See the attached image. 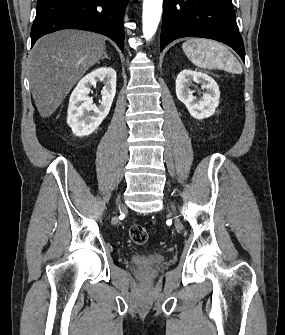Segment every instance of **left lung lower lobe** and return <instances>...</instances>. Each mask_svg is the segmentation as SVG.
Instances as JSON below:
<instances>
[{"mask_svg": "<svg viewBox=\"0 0 285 335\" xmlns=\"http://www.w3.org/2000/svg\"><path fill=\"white\" fill-rule=\"evenodd\" d=\"M161 51L175 39L202 37L232 47L245 62L232 0H164Z\"/></svg>", "mask_w": 285, "mask_h": 335, "instance_id": "left-lung-lower-lobe-1", "label": "left lung lower lobe"}]
</instances>
